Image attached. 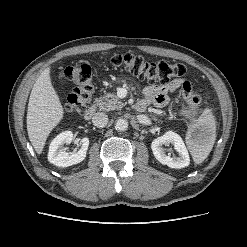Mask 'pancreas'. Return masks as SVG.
<instances>
[{"label":"pancreas","mask_w":247,"mask_h":247,"mask_svg":"<svg viewBox=\"0 0 247 247\" xmlns=\"http://www.w3.org/2000/svg\"><path fill=\"white\" fill-rule=\"evenodd\" d=\"M96 104L99 106V109L103 111L121 109L124 107V104L119 100V98L112 93H107L96 99Z\"/></svg>","instance_id":"obj_1"}]
</instances>
